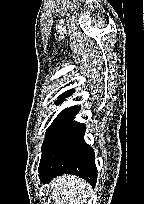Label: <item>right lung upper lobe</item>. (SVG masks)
<instances>
[{
  "label": "right lung upper lobe",
  "mask_w": 144,
  "mask_h": 204,
  "mask_svg": "<svg viewBox=\"0 0 144 204\" xmlns=\"http://www.w3.org/2000/svg\"><path fill=\"white\" fill-rule=\"evenodd\" d=\"M71 92H72V90H69V91H67V92H64L60 97H68V96H70L71 95Z\"/></svg>",
  "instance_id": "right-lung-upper-lobe-1"
}]
</instances>
